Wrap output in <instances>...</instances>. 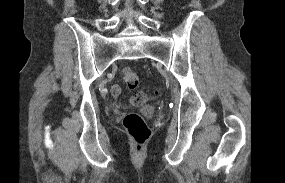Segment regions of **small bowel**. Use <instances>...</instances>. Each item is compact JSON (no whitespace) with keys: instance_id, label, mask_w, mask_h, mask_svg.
Here are the masks:
<instances>
[{"instance_id":"1","label":"small bowel","mask_w":285,"mask_h":183,"mask_svg":"<svg viewBox=\"0 0 285 183\" xmlns=\"http://www.w3.org/2000/svg\"><path fill=\"white\" fill-rule=\"evenodd\" d=\"M111 94L115 98L119 97L120 94H121V87L119 85H117V84L113 85L111 87Z\"/></svg>"}]
</instances>
